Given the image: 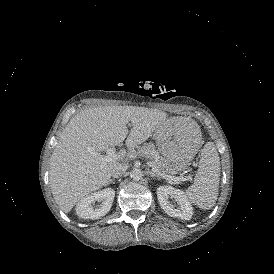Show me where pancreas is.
I'll return each instance as SVG.
<instances>
[{
    "label": "pancreas",
    "mask_w": 274,
    "mask_h": 274,
    "mask_svg": "<svg viewBox=\"0 0 274 274\" xmlns=\"http://www.w3.org/2000/svg\"><path fill=\"white\" fill-rule=\"evenodd\" d=\"M136 155H138L139 157H144L146 160L151 161L152 165L164 174L176 173V171L171 168L170 160L160 156L154 145L144 144L143 146H138Z\"/></svg>",
    "instance_id": "cf45deb5"
}]
</instances>
